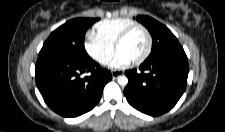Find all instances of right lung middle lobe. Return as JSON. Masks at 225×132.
I'll use <instances>...</instances> for the list:
<instances>
[{
    "label": "right lung middle lobe",
    "mask_w": 225,
    "mask_h": 132,
    "mask_svg": "<svg viewBox=\"0 0 225 132\" xmlns=\"http://www.w3.org/2000/svg\"><path fill=\"white\" fill-rule=\"evenodd\" d=\"M98 18L72 19L56 30L45 41L40 53H56L74 58L88 57L84 48V37L87 29Z\"/></svg>",
    "instance_id": "right-lung-middle-lobe-1"
}]
</instances>
